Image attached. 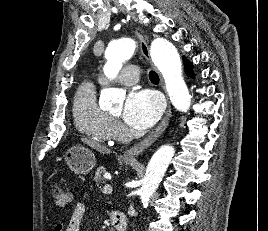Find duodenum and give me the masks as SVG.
<instances>
[{"label": "duodenum", "instance_id": "obj_1", "mask_svg": "<svg viewBox=\"0 0 268 231\" xmlns=\"http://www.w3.org/2000/svg\"><path fill=\"white\" fill-rule=\"evenodd\" d=\"M112 225L117 231H126L127 217L122 211H115L111 216Z\"/></svg>", "mask_w": 268, "mask_h": 231}]
</instances>
